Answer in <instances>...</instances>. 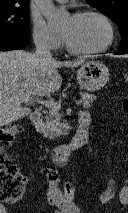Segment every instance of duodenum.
<instances>
[{"label": "duodenum", "mask_w": 128, "mask_h": 213, "mask_svg": "<svg viewBox=\"0 0 128 213\" xmlns=\"http://www.w3.org/2000/svg\"><path fill=\"white\" fill-rule=\"evenodd\" d=\"M42 118V114L39 111H35L30 115L32 126L39 132L42 130ZM89 125L90 118L88 116L80 115L78 129L71 142L57 146L52 150V159L55 163H65L74 151L86 144L88 140Z\"/></svg>", "instance_id": "obj_1"}]
</instances>
